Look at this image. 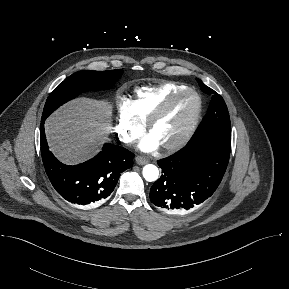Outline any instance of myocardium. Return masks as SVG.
<instances>
[{
  "mask_svg": "<svg viewBox=\"0 0 289 289\" xmlns=\"http://www.w3.org/2000/svg\"><path fill=\"white\" fill-rule=\"evenodd\" d=\"M184 95H191L195 99L196 106L194 112L182 134L174 141L161 145V147L165 150L170 151L182 147L194 134L202 112V99L200 94L190 87H185L177 90L170 94L168 97H166L164 101L149 115L148 119L146 120V129L148 133H150L154 124L166 114V112L170 109V107L177 99Z\"/></svg>",
  "mask_w": 289,
  "mask_h": 289,
  "instance_id": "myocardium-1",
  "label": "myocardium"
}]
</instances>
